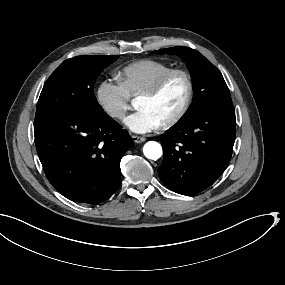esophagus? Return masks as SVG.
Segmentation results:
<instances>
[{
  "mask_svg": "<svg viewBox=\"0 0 285 285\" xmlns=\"http://www.w3.org/2000/svg\"><path fill=\"white\" fill-rule=\"evenodd\" d=\"M132 140L133 142L135 143H141V142H144L146 140L145 137H141V136H132Z\"/></svg>",
  "mask_w": 285,
  "mask_h": 285,
  "instance_id": "esophagus-1",
  "label": "esophagus"
}]
</instances>
